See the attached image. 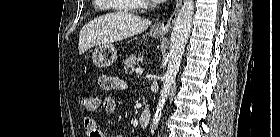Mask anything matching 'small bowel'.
I'll return each mask as SVG.
<instances>
[{
  "label": "small bowel",
  "mask_w": 280,
  "mask_h": 137,
  "mask_svg": "<svg viewBox=\"0 0 280 137\" xmlns=\"http://www.w3.org/2000/svg\"><path fill=\"white\" fill-rule=\"evenodd\" d=\"M98 84L104 90H120L124 88L123 81L116 76L101 75ZM106 115L112 114L116 109V101L112 97L104 99L102 104ZM87 137H105L104 133L98 128L96 120L91 116H85L82 120Z\"/></svg>",
  "instance_id": "c3829d8e"
}]
</instances>
